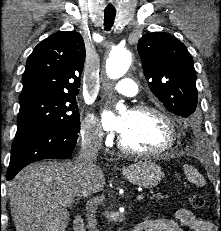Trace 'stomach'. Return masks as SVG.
I'll use <instances>...</instances> for the list:
<instances>
[{"label":"stomach","mask_w":221,"mask_h":231,"mask_svg":"<svg viewBox=\"0 0 221 231\" xmlns=\"http://www.w3.org/2000/svg\"><path fill=\"white\" fill-rule=\"evenodd\" d=\"M122 174L129 182L144 188L157 186L164 176L161 167L150 160H141L124 167Z\"/></svg>","instance_id":"obj_1"}]
</instances>
